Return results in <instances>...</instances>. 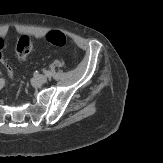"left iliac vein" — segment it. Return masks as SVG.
Segmentation results:
<instances>
[{"label": "left iliac vein", "mask_w": 163, "mask_h": 163, "mask_svg": "<svg viewBox=\"0 0 163 163\" xmlns=\"http://www.w3.org/2000/svg\"><path fill=\"white\" fill-rule=\"evenodd\" d=\"M36 79L41 84H45L47 82V77L45 75H38Z\"/></svg>", "instance_id": "obj_1"}]
</instances>
